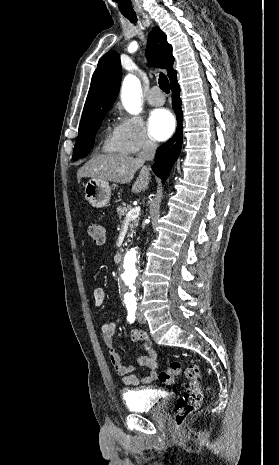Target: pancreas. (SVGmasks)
I'll return each instance as SVG.
<instances>
[{
	"label": "pancreas",
	"mask_w": 279,
	"mask_h": 465,
	"mask_svg": "<svg viewBox=\"0 0 279 465\" xmlns=\"http://www.w3.org/2000/svg\"><path fill=\"white\" fill-rule=\"evenodd\" d=\"M132 207L130 205H126L125 203L122 204V206L117 207V214L120 219L126 220V215L130 212ZM139 224V219H134L130 221V234H132L134 231L133 229L137 227Z\"/></svg>",
	"instance_id": "cf45deb5"
}]
</instances>
